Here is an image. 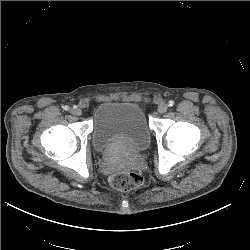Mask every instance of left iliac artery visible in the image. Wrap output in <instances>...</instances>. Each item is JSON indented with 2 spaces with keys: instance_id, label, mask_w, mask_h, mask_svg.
<instances>
[{
  "instance_id": "1",
  "label": "left iliac artery",
  "mask_w": 250,
  "mask_h": 250,
  "mask_svg": "<svg viewBox=\"0 0 250 250\" xmlns=\"http://www.w3.org/2000/svg\"><path fill=\"white\" fill-rule=\"evenodd\" d=\"M173 105H174V101H173V100H170V101L168 102V106L172 107Z\"/></svg>"
}]
</instances>
